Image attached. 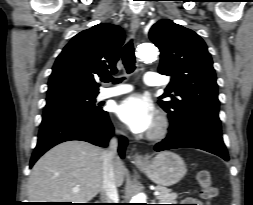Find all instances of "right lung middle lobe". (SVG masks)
Here are the masks:
<instances>
[{
	"label": "right lung middle lobe",
	"mask_w": 253,
	"mask_h": 205,
	"mask_svg": "<svg viewBox=\"0 0 253 205\" xmlns=\"http://www.w3.org/2000/svg\"><path fill=\"white\" fill-rule=\"evenodd\" d=\"M96 96H74L48 101L43 115L54 113H71L83 116L99 115L103 113V110L95 105Z\"/></svg>",
	"instance_id": "1"
}]
</instances>
